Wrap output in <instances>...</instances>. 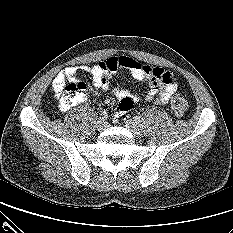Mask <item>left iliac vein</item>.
Wrapping results in <instances>:
<instances>
[{
  "label": "left iliac vein",
  "instance_id": "4c4485c4",
  "mask_svg": "<svg viewBox=\"0 0 233 233\" xmlns=\"http://www.w3.org/2000/svg\"><path fill=\"white\" fill-rule=\"evenodd\" d=\"M124 125H125L126 128H128L131 131V133L134 136H138L140 134V128H139L138 124L135 123L134 121L125 120Z\"/></svg>",
  "mask_w": 233,
  "mask_h": 233
}]
</instances>
